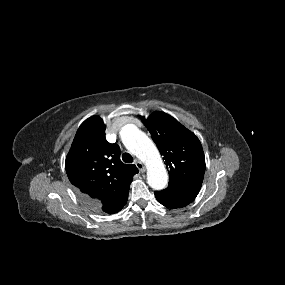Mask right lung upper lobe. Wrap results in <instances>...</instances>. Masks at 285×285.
<instances>
[{
  "instance_id": "cb5924a9",
  "label": "right lung upper lobe",
  "mask_w": 285,
  "mask_h": 285,
  "mask_svg": "<svg viewBox=\"0 0 285 285\" xmlns=\"http://www.w3.org/2000/svg\"><path fill=\"white\" fill-rule=\"evenodd\" d=\"M66 173L79 198L100 213L119 212L128 199L129 185L138 173L134 164H123L120 148L105 139L98 116L86 119L76 132L66 157Z\"/></svg>"
}]
</instances>
